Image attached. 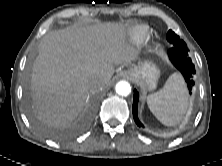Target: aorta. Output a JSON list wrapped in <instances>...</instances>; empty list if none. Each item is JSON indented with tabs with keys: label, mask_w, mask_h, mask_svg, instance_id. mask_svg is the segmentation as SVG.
<instances>
[{
	"label": "aorta",
	"mask_w": 222,
	"mask_h": 166,
	"mask_svg": "<svg viewBox=\"0 0 222 166\" xmlns=\"http://www.w3.org/2000/svg\"><path fill=\"white\" fill-rule=\"evenodd\" d=\"M116 93L121 96H127L131 93V86L127 81H120L115 87Z\"/></svg>",
	"instance_id": "aorta-1"
}]
</instances>
